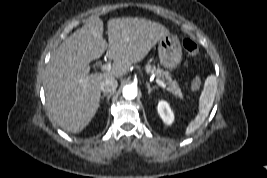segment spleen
I'll return each mask as SVG.
<instances>
[{"instance_id": "1", "label": "spleen", "mask_w": 267, "mask_h": 178, "mask_svg": "<svg viewBox=\"0 0 267 178\" xmlns=\"http://www.w3.org/2000/svg\"><path fill=\"white\" fill-rule=\"evenodd\" d=\"M216 90H217L216 78L215 76H209L204 83V89L199 99L198 114L188 124L185 130L186 136L193 134L204 123L206 117L208 116L212 108V105L215 99Z\"/></svg>"}]
</instances>
